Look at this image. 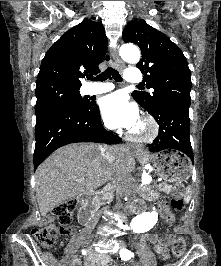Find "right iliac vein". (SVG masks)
<instances>
[{
	"mask_svg": "<svg viewBox=\"0 0 221 266\" xmlns=\"http://www.w3.org/2000/svg\"><path fill=\"white\" fill-rule=\"evenodd\" d=\"M88 240H90V239H88ZM79 263H80V260H79V258L77 257V255H75V256L71 259V261H70V263H69V266H79Z\"/></svg>",
	"mask_w": 221,
	"mask_h": 266,
	"instance_id": "63e3f726",
	"label": "right iliac vein"
}]
</instances>
